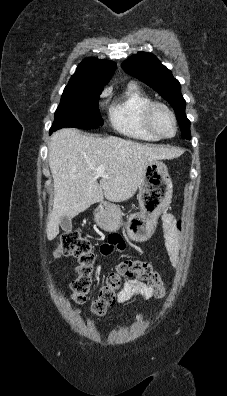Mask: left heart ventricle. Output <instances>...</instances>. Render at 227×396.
<instances>
[{"label": "left heart ventricle", "mask_w": 227, "mask_h": 396, "mask_svg": "<svg viewBox=\"0 0 227 396\" xmlns=\"http://www.w3.org/2000/svg\"><path fill=\"white\" fill-rule=\"evenodd\" d=\"M154 123L162 134L170 136L174 133L173 120L164 109H156L154 113Z\"/></svg>", "instance_id": "1"}]
</instances>
